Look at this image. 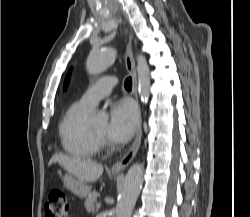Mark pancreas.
<instances>
[{
	"mask_svg": "<svg viewBox=\"0 0 250 217\" xmlns=\"http://www.w3.org/2000/svg\"><path fill=\"white\" fill-rule=\"evenodd\" d=\"M96 199H97V193L96 192H91L85 203H84V206H85V209L87 210V212L89 213H93L95 211V203H96Z\"/></svg>",
	"mask_w": 250,
	"mask_h": 217,
	"instance_id": "cf45deb5",
	"label": "pancreas"
}]
</instances>
